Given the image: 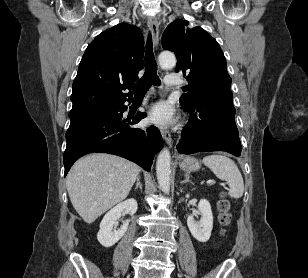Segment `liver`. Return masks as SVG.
<instances>
[{"instance_id": "1", "label": "liver", "mask_w": 308, "mask_h": 278, "mask_svg": "<svg viewBox=\"0 0 308 278\" xmlns=\"http://www.w3.org/2000/svg\"><path fill=\"white\" fill-rule=\"evenodd\" d=\"M140 170L137 164L111 154L80 158L66 179L74 209L86 223H93L128 196Z\"/></svg>"}]
</instances>
